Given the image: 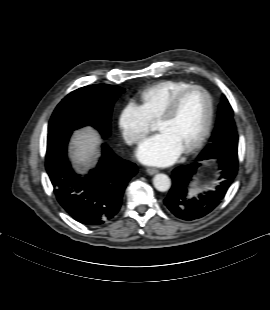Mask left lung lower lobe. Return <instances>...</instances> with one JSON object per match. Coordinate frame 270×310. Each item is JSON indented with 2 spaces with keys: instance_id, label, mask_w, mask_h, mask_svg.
I'll use <instances>...</instances> for the list:
<instances>
[{
  "instance_id": "0a47b994",
  "label": "left lung lower lobe",
  "mask_w": 270,
  "mask_h": 310,
  "mask_svg": "<svg viewBox=\"0 0 270 310\" xmlns=\"http://www.w3.org/2000/svg\"><path fill=\"white\" fill-rule=\"evenodd\" d=\"M219 164L222 170L221 184L214 192L199 194L193 198L188 197L187 187L200 164L181 166L173 171L172 187L164 203L176 217L187 221L199 219L219 205L237 175L238 159L219 160Z\"/></svg>"
}]
</instances>
